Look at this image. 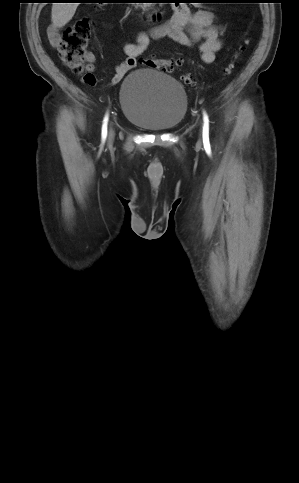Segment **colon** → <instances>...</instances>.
<instances>
[{"mask_svg":"<svg viewBox=\"0 0 299 483\" xmlns=\"http://www.w3.org/2000/svg\"><path fill=\"white\" fill-rule=\"evenodd\" d=\"M93 22L90 18H81L68 27L63 34L59 45V54L63 64L72 72L81 74L84 71L86 61V49L90 38ZM142 65L148 68L156 69L160 72L170 73L175 68L182 65L181 60L143 58ZM233 65H229L225 73L230 74ZM83 82L88 86L96 84V78L93 73L87 71L83 76ZM184 82L189 86H195L196 80L189 74L184 76Z\"/></svg>","mask_w":299,"mask_h":483,"instance_id":"5ec220e1","label":"colon"}]
</instances>
